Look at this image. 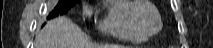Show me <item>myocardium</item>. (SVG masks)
<instances>
[{
	"label": "myocardium",
	"mask_w": 213,
	"mask_h": 48,
	"mask_svg": "<svg viewBox=\"0 0 213 48\" xmlns=\"http://www.w3.org/2000/svg\"><path fill=\"white\" fill-rule=\"evenodd\" d=\"M144 8H149L151 9L154 14L156 15L157 17V20H158V28L155 32H152V33H148L146 32L140 22H139V19H138V14L141 12V10H143ZM130 18H131V21H132V24L134 25V27L136 28V30L141 33L142 35L146 36L147 38L149 37H152L154 35H156L162 28V18H161V15L158 11V9L152 5L150 2L148 1H142V0H138V1H135V4L131 10V13H130Z\"/></svg>",
	"instance_id": "myocardium-1"
}]
</instances>
